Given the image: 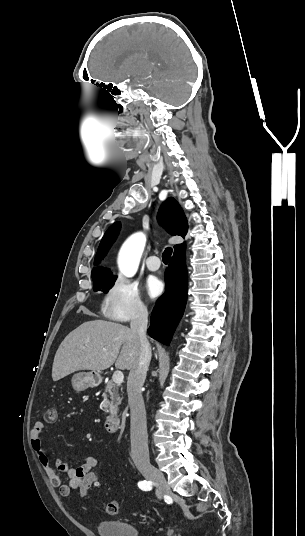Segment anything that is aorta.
<instances>
[{"mask_svg": "<svg viewBox=\"0 0 305 536\" xmlns=\"http://www.w3.org/2000/svg\"><path fill=\"white\" fill-rule=\"evenodd\" d=\"M145 244L146 236L138 232L131 235L122 245L118 255V267L124 276L133 277L136 274Z\"/></svg>", "mask_w": 305, "mask_h": 536, "instance_id": "obj_1", "label": "aorta"}]
</instances>
